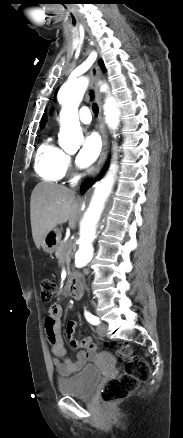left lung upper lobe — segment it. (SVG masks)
Segmentation results:
<instances>
[{
    "mask_svg": "<svg viewBox=\"0 0 183 438\" xmlns=\"http://www.w3.org/2000/svg\"><path fill=\"white\" fill-rule=\"evenodd\" d=\"M101 67H102V69L104 70V65H103V64H101Z\"/></svg>",
    "mask_w": 183,
    "mask_h": 438,
    "instance_id": "1",
    "label": "left lung upper lobe"
}]
</instances>
